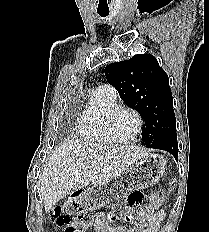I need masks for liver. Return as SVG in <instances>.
Returning a JSON list of instances; mask_svg holds the SVG:
<instances>
[{
	"label": "liver",
	"mask_w": 209,
	"mask_h": 232,
	"mask_svg": "<svg viewBox=\"0 0 209 232\" xmlns=\"http://www.w3.org/2000/svg\"><path fill=\"white\" fill-rule=\"evenodd\" d=\"M148 155L149 151L135 145L69 140L54 151L41 175L40 192L45 211L49 212L71 191L82 189L89 183L107 184Z\"/></svg>",
	"instance_id": "liver-1"
}]
</instances>
